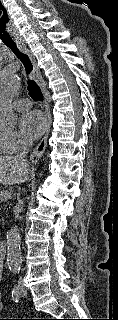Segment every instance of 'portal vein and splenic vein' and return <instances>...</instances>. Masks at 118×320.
Masks as SVG:
<instances>
[{"label":"portal vein and splenic vein","instance_id":"18ae733b","mask_svg":"<svg viewBox=\"0 0 118 320\" xmlns=\"http://www.w3.org/2000/svg\"><path fill=\"white\" fill-rule=\"evenodd\" d=\"M11 197V192L5 190L0 192V201H6Z\"/></svg>","mask_w":118,"mask_h":320}]
</instances>
